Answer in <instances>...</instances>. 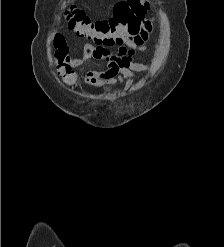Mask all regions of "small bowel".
<instances>
[{
	"mask_svg": "<svg viewBox=\"0 0 224 247\" xmlns=\"http://www.w3.org/2000/svg\"><path fill=\"white\" fill-rule=\"evenodd\" d=\"M156 17L145 20L140 29L132 34L112 42L87 43L81 58L72 60L69 56V48L65 38L60 33H55L52 43L56 48V58L59 63H73L81 65L90 59L102 60L107 63V68L101 71H89L84 81L96 88H106L116 84L132 81L136 78L134 72L149 71L150 66L134 61V56L139 51H147L150 48V34ZM158 42L155 47L158 46ZM116 46L115 51L111 47Z\"/></svg>",
	"mask_w": 224,
	"mask_h": 247,
	"instance_id": "c3829d8e",
	"label": "small bowel"
}]
</instances>
